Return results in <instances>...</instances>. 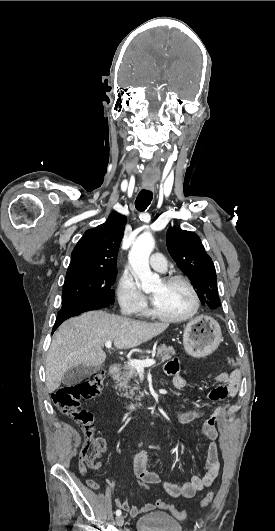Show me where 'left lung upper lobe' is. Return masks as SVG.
Instances as JSON below:
<instances>
[{"label":"left lung upper lobe","mask_w":275,"mask_h":531,"mask_svg":"<svg viewBox=\"0 0 275 531\" xmlns=\"http://www.w3.org/2000/svg\"><path fill=\"white\" fill-rule=\"evenodd\" d=\"M166 243L171 257L197 289L202 304H207L211 309L219 307L215 267L199 236L194 232L170 227Z\"/></svg>","instance_id":"left-lung-upper-lobe-1"}]
</instances>
